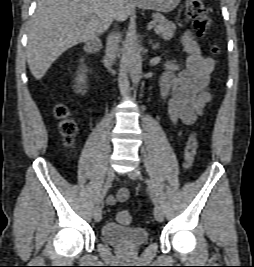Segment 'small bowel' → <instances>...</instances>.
<instances>
[{
	"mask_svg": "<svg viewBox=\"0 0 254 267\" xmlns=\"http://www.w3.org/2000/svg\"><path fill=\"white\" fill-rule=\"evenodd\" d=\"M182 43L188 54L186 67L182 68L172 61H167L160 80V91L164 98L171 94L168 103L170 121L174 125H193L211 98L206 88L214 69V61L211 57L202 55L190 32L184 33ZM128 198L129 191L121 188L116 195H109L106 203L114 206Z\"/></svg>",
	"mask_w": 254,
	"mask_h": 267,
	"instance_id": "small-bowel-1",
	"label": "small bowel"
}]
</instances>
